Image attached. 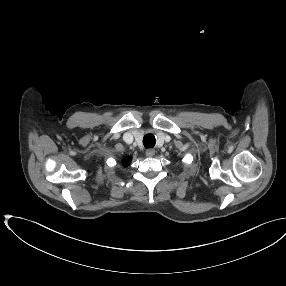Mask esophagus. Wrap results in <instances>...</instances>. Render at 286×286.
I'll return each mask as SVG.
<instances>
[{"instance_id":"1","label":"esophagus","mask_w":286,"mask_h":286,"mask_svg":"<svg viewBox=\"0 0 286 286\" xmlns=\"http://www.w3.org/2000/svg\"><path fill=\"white\" fill-rule=\"evenodd\" d=\"M155 155V150L154 149H147L146 150V156H148V157H152V156H154Z\"/></svg>"}]
</instances>
